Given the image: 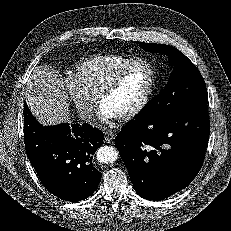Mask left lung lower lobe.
<instances>
[{"instance_id": "1", "label": "left lung lower lobe", "mask_w": 231, "mask_h": 231, "mask_svg": "<svg viewBox=\"0 0 231 231\" xmlns=\"http://www.w3.org/2000/svg\"><path fill=\"white\" fill-rule=\"evenodd\" d=\"M208 105L157 120L130 121L115 138L134 189L162 200L187 187L203 165L209 140Z\"/></svg>"}]
</instances>
